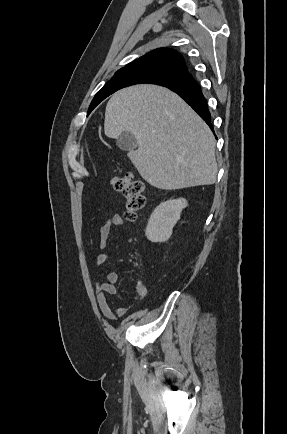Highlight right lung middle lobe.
Returning <instances> with one entry per match:
<instances>
[{
	"mask_svg": "<svg viewBox=\"0 0 287 434\" xmlns=\"http://www.w3.org/2000/svg\"><path fill=\"white\" fill-rule=\"evenodd\" d=\"M177 79H179V76L173 73L154 68H140L115 73L113 78L108 81L93 98L88 114L106 97L126 86L140 83L157 84L162 81H174Z\"/></svg>",
	"mask_w": 287,
	"mask_h": 434,
	"instance_id": "1",
	"label": "right lung middle lobe"
}]
</instances>
